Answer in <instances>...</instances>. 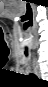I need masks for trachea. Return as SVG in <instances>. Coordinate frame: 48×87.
Listing matches in <instances>:
<instances>
[{
    "label": "trachea",
    "instance_id": "1",
    "mask_svg": "<svg viewBox=\"0 0 48 87\" xmlns=\"http://www.w3.org/2000/svg\"><path fill=\"white\" fill-rule=\"evenodd\" d=\"M25 55H27V51L25 52ZM30 77L36 78L34 74H30Z\"/></svg>",
    "mask_w": 48,
    "mask_h": 87
}]
</instances>
